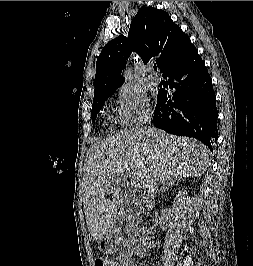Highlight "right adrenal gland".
<instances>
[{
	"mask_svg": "<svg viewBox=\"0 0 253 266\" xmlns=\"http://www.w3.org/2000/svg\"><path fill=\"white\" fill-rule=\"evenodd\" d=\"M173 184H174V181H173L172 179H169V180H167V179H166V180L163 179V181H162V185H161L159 191L163 193V192H165L166 189H167L166 186H170V185H173Z\"/></svg>",
	"mask_w": 253,
	"mask_h": 266,
	"instance_id": "right-adrenal-gland-1",
	"label": "right adrenal gland"
}]
</instances>
